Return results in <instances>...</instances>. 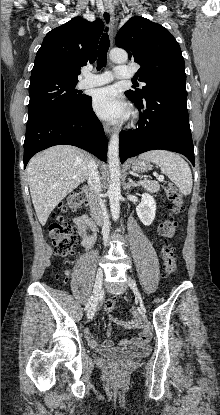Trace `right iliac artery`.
<instances>
[{
  "label": "right iliac artery",
  "instance_id": "1",
  "mask_svg": "<svg viewBox=\"0 0 220 415\" xmlns=\"http://www.w3.org/2000/svg\"><path fill=\"white\" fill-rule=\"evenodd\" d=\"M94 301V296L92 295L90 299L88 300V303L85 306V310H89L90 306L92 305V302Z\"/></svg>",
  "mask_w": 220,
  "mask_h": 415
}]
</instances>
